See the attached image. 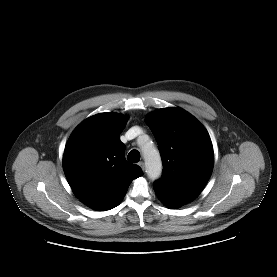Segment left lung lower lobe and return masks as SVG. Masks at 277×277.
<instances>
[{
  "mask_svg": "<svg viewBox=\"0 0 277 277\" xmlns=\"http://www.w3.org/2000/svg\"><path fill=\"white\" fill-rule=\"evenodd\" d=\"M154 190L158 198L170 208H178L186 203H189L197 196L177 193L171 190H168L158 184L154 183Z\"/></svg>",
  "mask_w": 277,
  "mask_h": 277,
  "instance_id": "left-lung-lower-lobe-1",
  "label": "left lung lower lobe"
}]
</instances>
